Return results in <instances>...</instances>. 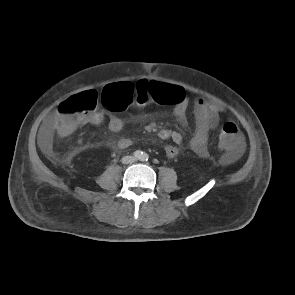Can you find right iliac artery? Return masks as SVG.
Returning a JSON list of instances; mask_svg holds the SVG:
<instances>
[{
    "label": "right iliac artery",
    "instance_id": "right-iliac-artery-1",
    "mask_svg": "<svg viewBox=\"0 0 295 295\" xmlns=\"http://www.w3.org/2000/svg\"><path fill=\"white\" fill-rule=\"evenodd\" d=\"M134 156L136 157V158H141L142 157V152L141 151H136L135 153H134Z\"/></svg>",
    "mask_w": 295,
    "mask_h": 295
}]
</instances>
